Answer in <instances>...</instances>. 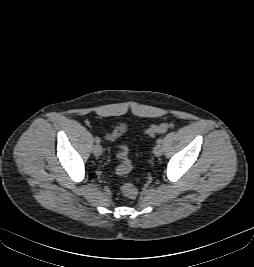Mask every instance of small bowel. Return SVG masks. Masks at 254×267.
I'll list each match as a JSON object with an SVG mask.
<instances>
[{"label":"small bowel","mask_w":254,"mask_h":267,"mask_svg":"<svg viewBox=\"0 0 254 267\" xmlns=\"http://www.w3.org/2000/svg\"><path fill=\"white\" fill-rule=\"evenodd\" d=\"M128 130V126L125 123L117 125L111 132H105L104 138L108 141H115L123 136Z\"/></svg>","instance_id":"obj_1"}]
</instances>
